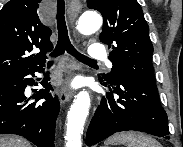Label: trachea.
<instances>
[{
  "instance_id": "obj_1",
  "label": "trachea",
  "mask_w": 183,
  "mask_h": 147,
  "mask_svg": "<svg viewBox=\"0 0 183 147\" xmlns=\"http://www.w3.org/2000/svg\"><path fill=\"white\" fill-rule=\"evenodd\" d=\"M57 27H58V42L55 49L50 54L52 59L48 62L49 67L54 64L53 59L58 56H61L62 54H64L65 51L83 63L96 62V60H93L78 52L70 42L65 21L64 0H58L57 2Z\"/></svg>"
}]
</instances>
